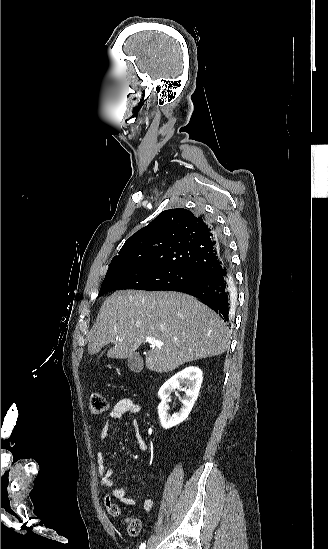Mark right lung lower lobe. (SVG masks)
<instances>
[{
  "label": "right lung lower lobe",
  "instance_id": "98d812e1",
  "mask_svg": "<svg viewBox=\"0 0 328 549\" xmlns=\"http://www.w3.org/2000/svg\"><path fill=\"white\" fill-rule=\"evenodd\" d=\"M219 242L223 245L222 249H226L222 243L220 234ZM224 261L222 269L205 275L197 281L175 288L173 291H180L198 297L227 322L229 320L230 289L233 287V279L229 270L227 257H225Z\"/></svg>",
  "mask_w": 328,
  "mask_h": 549
}]
</instances>
